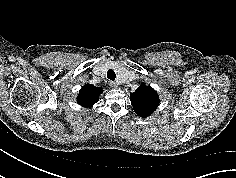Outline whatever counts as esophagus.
Listing matches in <instances>:
<instances>
[{
	"instance_id": "34e87169",
	"label": "esophagus",
	"mask_w": 236,
	"mask_h": 178,
	"mask_svg": "<svg viewBox=\"0 0 236 178\" xmlns=\"http://www.w3.org/2000/svg\"><path fill=\"white\" fill-rule=\"evenodd\" d=\"M110 86H111L113 89H118L119 84L116 83V82H110Z\"/></svg>"
}]
</instances>
